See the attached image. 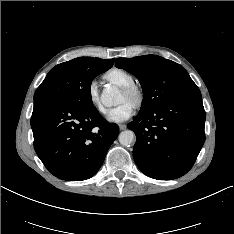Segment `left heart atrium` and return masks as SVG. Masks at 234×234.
I'll return each mask as SVG.
<instances>
[{"mask_svg":"<svg viewBox=\"0 0 234 234\" xmlns=\"http://www.w3.org/2000/svg\"><path fill=\"white\" fill-rule=\"evenodd\" d=\"M133 114L134 106L131 103L124 101L118 106L109 110L107 119L111 122L119 123L128 120Z\"/></svg>","mask_w":234,"mask_h":234,"instance_id":"obj_1","label":"left heart atrium"}]
</instances>
